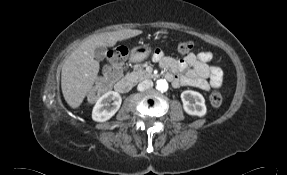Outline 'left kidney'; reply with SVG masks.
Wrapping results in <instances>:
<instances>
[{"label":"left kidney","instance_id":"left-kidney-1","mask_svg":"<svg viewBox=\"0 0 287 175\" xmlns=\"http://www.w3.org/2000/svg\"><path fill=\"white\" fill-rule=\"evenodd\" d=\"M183 109L189 115L202 117L207 109L204 97L196 91L186 90L181 93Z\"/></svg>","mask_w":287,"mask_h":175}]
</instances>
